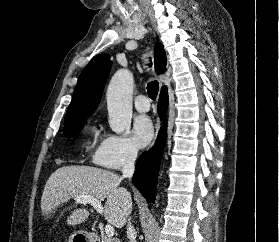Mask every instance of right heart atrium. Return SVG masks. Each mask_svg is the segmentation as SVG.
I'll list each match as a JSON object with an SVG mask.
<instances>
[{"instance_id":"right-heart-atrium-1","label":"right heart atrium","mask_w":279,"mask_h":242,"mask_svg":"<svg viewBox=\"0 0 279 242\" xmlns=\"http://www.w3.org/2000/svg\"><path fill=\"white\" fill-rule=\"evenodd\" d=\"M138 155V149L127 135L106 134L96 147L92 159L107 169H120L132 164Z\"/></svg>"}]
</instances>
